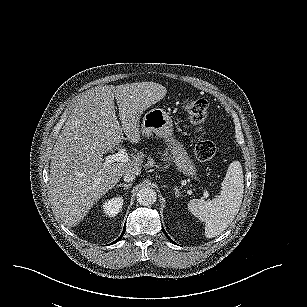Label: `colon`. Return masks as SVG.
<instances>
[{
  "label": "colon",
  "instance_id": "colon-1",
  "mask_svg": "<svg viewBox=\"0 0 307 307\" xmlns=\"http://www.w3.org/2000/svg\"><path fill=\"white\" fill-rule=\"evenodd\" d=\"M208 108V102L202 98H191L183 104V109L188 115L191 123L194 124L200 132L204 129ZM194 153L198 160L208 161L214 157L216 145L211 139L202 136L195 144Z\"/></svg>",
  "mask_w": 307,
  "mask_h": 307
}]
</instances>
